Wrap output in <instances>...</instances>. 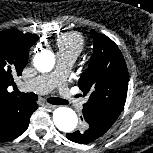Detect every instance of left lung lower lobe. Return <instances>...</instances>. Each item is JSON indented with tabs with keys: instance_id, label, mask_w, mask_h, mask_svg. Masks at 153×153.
<instances>
[{
	"instance_id": "0a47b994",
	"label": "left lung lower lobe",
	"mask_w": 153,
	"mask_h": 153,
	"mask_svg": "<svg viewBox=\"0 0 153 153\" xmlns=\"http://www.w3.org/2000/svg\"><path fill=\"white\" fill-rule=\"evenodd\" d=\"M102 135H99L93 131H90L89 129H86L85 131H76L73 133H67L66 137L76 143H82L86 144L89 142L94 141L95 139L99 138Z\"/></svg>"
}]
</instances>
